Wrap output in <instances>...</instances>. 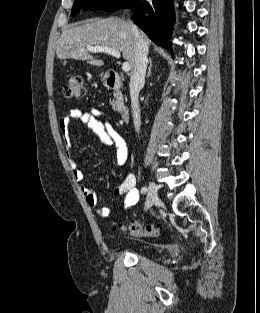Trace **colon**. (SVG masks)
Wrapping results in <instances>:
<instances>
[{"label": "colon", "instance_id": "1", "mask_svg": "<svg viewBox=\"0 0 260 313\" xmlns=\"http://www.w3.org/2000/svg\"><path fill=\"white\" fill-rule=\"evenodd\" d=\"M64 96L67 98H82L86 94L84 82L81 76L71 77L64 86ZM121 229L127 231L135 237H159L162 234V228L155 225L142 226L137 222H133L128 226L118 225Z\"/></svg>", "mask_w": 260, "mask_h": 313}]
</instances>
